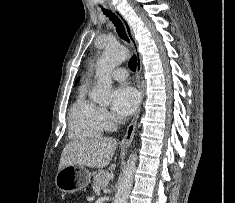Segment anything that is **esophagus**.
<instances>
[{"label":"esophagus","mask_w":235,"mask_h":203,"mask_svg":"<svg viewBox=\"0 0 235 203\" xmlns=\"http://www.w3.org/2000/svg\"><path fill=\"white\" fill-rule=\"evenodd\" d=\"M111 10L113 11V13L121 20V22L123 23V26L125 28L126 34L133 46V49L135 51L136 54V58H137V70H136V77H137V87L140 91V95H141V103L144 97L143 94V89H142V82H141V72H142V57L141 54L138 50V42L135 38L134 32L132 27L130 26L129 22L124 18V16L113 6L110 7ZM141 111V105L139 106V109L137 111V113L135 114V116L133 117L132 121L130 122L129 126L127 127L126 133L124 135V137L122 138L120 144L123 146H129L134 138V134H135V130H136V125H137V120L139 117Z\"/></svg>","instance_id":"34e87169"}]
</instances>
